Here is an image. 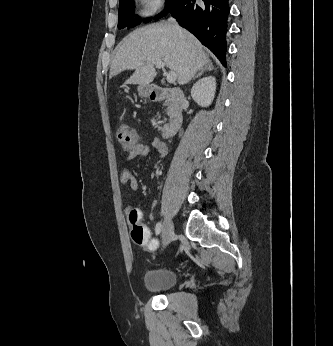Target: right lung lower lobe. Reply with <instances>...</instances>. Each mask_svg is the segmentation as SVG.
I'll list each match as a JSON object with an SVG mask.
<instances>
[{
  "mask_svg": "<svg viewBox=\"0 0 333 346\" xmlns=\"http://www.w3.org/2000/svg\"><path fill=\"white\" fill-rule=\"evenodd\" d=\"M169 12L226 65L228 0H177Z\"/></svg>",
  "mask_w": 333,
  "mask_h": 346,
  "instance_id": "right-lung-lower-lobe-1",
  "label": "right lung lower lobe"
}]
</instances>
